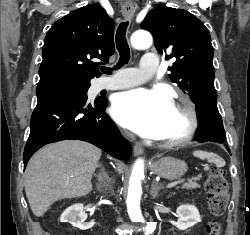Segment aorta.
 I'll list each match as a JSON object with an SVG mask.
<instances>
[{"mask_svg":"<svg viewBox=\"0 0 250 235\" xmlns=\"http://www.w3.org/2000/svg\"><path fill=\"white\" fill-rule=\"evenodd\" d=\"M131 44L136 49H146L152 45V36L147 31H137L131 36ZM144 176V161L138 159L132 169L128 194L127 210L132 222H143L144 218L140 210V200L142 194L141 178ZM156 229V222H148L145 235L152 234Z\"/></svg>","mask_w":250,"mask_h":235,"instance_id":"aorta-1","label":"aorta"}]
</instances>
